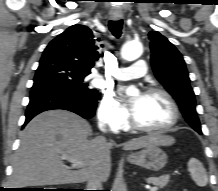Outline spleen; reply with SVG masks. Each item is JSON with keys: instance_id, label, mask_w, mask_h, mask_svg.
<instances>
[{"instance_id": "obj_1", "label": "spleen", "mask_w": 218, "mask_h": 191, "mask_svg": "<svg viewBox=\"0 0 218 191\" xmlns=\"http://www.w3.org/2000/svg\"><path fill=\"white\" fill-rule=\"evenodd\" d=\"M188 170L193 181L200 187L208 183V177L202 163L196 158H191L188 162Z\"/></svg>"}]
</instances>
